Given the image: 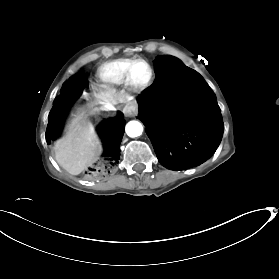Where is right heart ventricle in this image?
<instances>
[{"label":"right heart ventricle","instance_id":"1","mask_svg":"<svg viewBox=\"0 0 279 279\" xmlns=\"http://www.w3.org/2000/svg\"><path fill=\"white\" fill-rule=\"evenodd\" d=\"M131 59H118L103 64L99 70V76L104 82L121 84L126 80V71Z\"/></svg>","mask_w":279,"mask_h":279}]
</instances>
